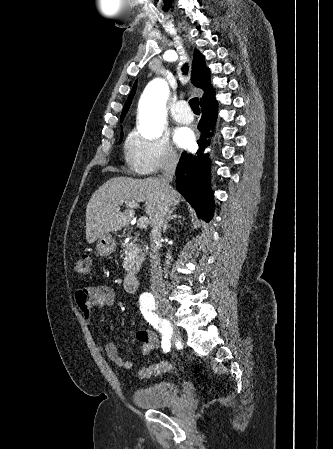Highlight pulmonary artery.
<instances>
[{
	"label": "pulmonary artery",
	"mask_w": 333,
	"mask_h": 449,
	"mask_svg": "<svg viewBox=\"0 0 333 449\" xmlns=\"http://www.w3.org/2000/svg\"><path fill=\"white\" fill-rule=\"evenodd\" d=\"M172 117L179 123H190L193 120V115L184 101L177 102L171 110Z\"/></svg>",
	"instance_id": "obj_1"
}]
</instances>
